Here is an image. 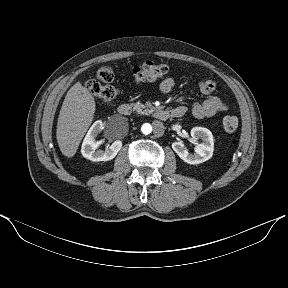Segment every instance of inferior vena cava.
Wrapping results in <instances>:
<instances>
[{
  "label": "inferior vena cava",
  "mask_w": 288,
  "mask_h": 288,
  "mask_svg": "<svg viewBox=\"0 0 288 288\" xmlns=\"http://www.w3.org/2000/svg\"><path fill=\"white\" fill-rule=\"evenodd\" d=\"M150 125H152L153 133L155 135L161 136L164 133V127L160 121L157 120V118L152 117L149 120Z\"/></svg>",
  "instance_id": "inferior-vena-cava-1"
}]
</instances>
